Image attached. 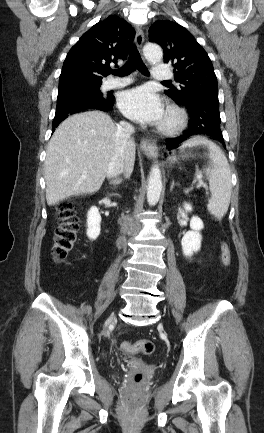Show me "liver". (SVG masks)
<instances>
[{
  "mask_svg": "<svg viewBox=\"0 0 264 433\" xmlns=\"http://www.w3.org/2000/svg\"><path fill=\"white\" fill-rule=\"evenodd\" d=\"M116 131L110 116L101 111L75 114L58 126L44 163L48 206L101 188L117 151ZM134 161L135 142L130 139L124 154L126 177Z\"/></svg>",
  "mask_w": 264,
  "mask_h": 433,
  "instance_id": "6515ba94",
  "label": "liver"
}]
</instances>
